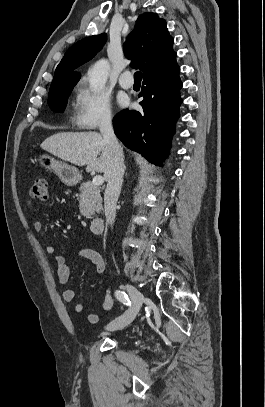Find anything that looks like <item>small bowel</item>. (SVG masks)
<instances>
[{
    "instance_id": "small-bowel-1",
    "label": "small bowel",
    "mask_w": 265,
    "mask_h": 407,
    "mask_svg": "<svg viewBox=\"0 0 265 407\" xmlns=\"http://www.w3.org/2000/svg\"><path fill=\"white\" fill-rule=\"evenodd\" d=\"M43 222L37 220L33 223V229L35 232H41L43 230ZM45 251L48 255H51L55 261L57 268L58 279L61 284L67 285L70 281V270L65 262V259L56 253L54 246L48 244L45 247ZM80 256L90 260L95 265V271L97 274H101L105 269V262L99 252L84 248L80 251ZM63 298L66 302H74L76 298V292L72 288H67L63 292ZM113 306V298L109 290H106L105 297L102 303V309L104 311H109ZM75 313H82L84 310V305L82 303H76L73 307ZM87 320L91 324H96L99 320V317L95 313H90L87 316Z\"/></svg>"
}]
</instances>
